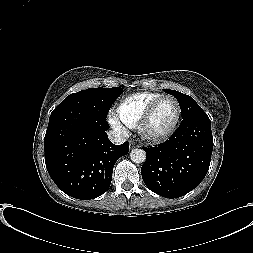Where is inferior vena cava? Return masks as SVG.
Instances as JSON below:
<instances>
[{"label":"inferior vena cava","instance_id":"602c4592","mask_svg":"<svg viewBox=\"0 0 253 253\" xmlns=\"http://www.w3.org/2000/svg\"><path fill=\"white\" fill-rule=\"evenodd\" d=\"M108 138L114 144H122L126 141V137L116 130H110Z\"/></svg>","mask_w":253,"mask_h":253}]
</instances>
